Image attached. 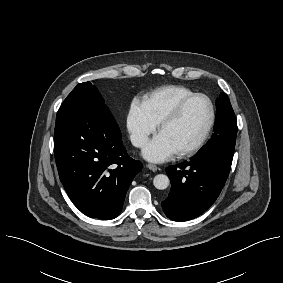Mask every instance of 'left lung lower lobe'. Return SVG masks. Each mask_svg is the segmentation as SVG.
<instances>
[{
    "label": "left lung lower lobe",
    "instance_id": "left-lung-lower-lobe-1",
    "mask_svg": "<svg viewBox=\"0 0 283 283\" xmlns=\"http://www.w3.org/2000/svg\"><path fill=\"white\" fill-rule=\"evenodd\" d=\"M232 159L233 154L222 149L202 148L189 162L168 167L172 186L162 202L166 216L186 221L204 213L224 187Z\"/></svg>",
    "mask_w": 283,
    "mask_h": 283
}]
</instances>
